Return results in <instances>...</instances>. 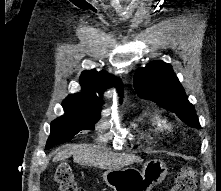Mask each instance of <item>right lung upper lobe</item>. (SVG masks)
Wrapping results in <instances>:
<instances>
[{
	"instance_id": "cb5924a9",
	"label": "right lung upper lobe",
	"mask_w": 221,
	"mask_h": 191,
	"mask_svg": "<svg viewBox=\"0 0 221 191\" xmlns=\"http://www.w3.org/2000/svg\"><path fill=\"white\" fill-rule=\"evenodd\" d=\"M114 77L106 71L97 72L95 69L83 71L80 76L82 93L69 95L62 103L66 110H77L99 113L102 101L97 97L96 92L103 94L104 90L113 85ZM120 95H123V86L118 80L117 85Z\"/></svg>"
}]
</instances>
